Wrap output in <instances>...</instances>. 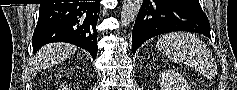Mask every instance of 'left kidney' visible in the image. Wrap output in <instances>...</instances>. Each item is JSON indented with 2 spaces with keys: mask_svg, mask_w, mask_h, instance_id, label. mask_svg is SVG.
Returning <instances> with one entry per match:
<instances>
[{
  "mask_svg": "<svg viewBox=\"0 0 237 90\" xmlns=\"http://www.w3.org/2000/svg\"><path fill=\"white\" fill-rule=\"evenodd\" d=\"M159 76L160 90H191L187 80L174 70H164Z\"/></svg>",
  "mask_w": 237,
  "mask_h": 90,
  "instance_id": "left-kidney-1",
  "label": "left kidney"
}]
</instances>
